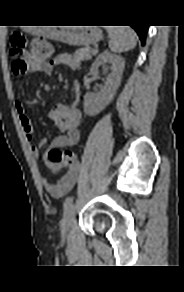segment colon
<instances>
[{
	"label": "colon",
	"instance_id": "colon-1",
	"mask_svg": "<svg viewBox=\"0 0 184 292\" xmlns=\"http://www.w3.org/2000/svg\"><path fill=\"white\" fill-rule=\"evenodd\" d=\"M25 38L20 33H14L11 38L10 54L13 59L12 71L15 75L26 74L35 63L46 61L53 52L52 45L43 39L35 40L28 54L25 50ZM48 159L58 165H72L77 163L76 155L70 150L53 147L47 152Z\"/></svg>",
	"mask_w": 184,
	"mask_h": 292
}]
</instances>
